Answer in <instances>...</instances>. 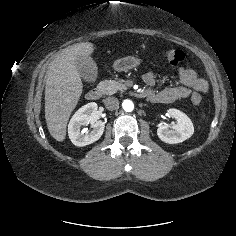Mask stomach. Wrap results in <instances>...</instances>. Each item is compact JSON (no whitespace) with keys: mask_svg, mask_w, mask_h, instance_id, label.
Segmentation results:
<instances>
[{"mask_svg":"<svg viewBox=\"0 0 236 236\" xmlns=\"http://www.w3.org/2000/svg\"><path fill=\"white\" fill-rule=\"evenodd\" d=\"M140 64V59L134 56H126L120 59H117L114 64V70L118 72H126L130 69L137 67Z\"/></svg>","mask_w":236,"mask_h":236,"instance_id":"stomach-1","label":"stomach"}]
</instances>
